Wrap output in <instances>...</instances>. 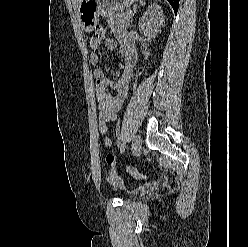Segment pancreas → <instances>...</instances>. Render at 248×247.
<instances>
[{
	"label": "pancreas",
	"instance_id": "obj_1",
	"mask_svg": "<svg viewBox=\"0 0 248 247\" xmlns=\"http://www.w3.org/2000/svg\"><path fill=\"white\" fill-rule=\"evenodd\" d=\"M132 13L121 10L114 12L108 19V24L112 29L127 28L132 22Z\"/></svg>",
	"mask_w": 248,
	"mask_h": 247
}]
</instances>
